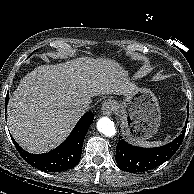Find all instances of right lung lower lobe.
I'll return each instance as SVG.
<instances>
[{
	"mask_svg": "<svg viewBox=\"0 0 194 194\" xmlns=\"http://www.w3.org/2000/svg\"><path fill=\"white\" fill-rule=\"evenodd\" d=\"M9 96H6L5 110ZM94 119L92 112L85 113L78 121L69 137L54 150L45 154H31L23 150L12 138L22 158L31 166L46 172H60L74 168L81 157L83 141Z\"/></svg>",
	"mask_w": 194,
	"mask_h": 194,
	"instance_id": "1",
	"label": "right lung lower lobe"
}]
</instances>
